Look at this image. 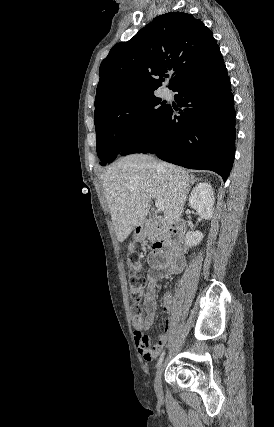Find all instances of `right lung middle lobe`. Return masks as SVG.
<instances>
[{
	"mask_svg": "<svg viewBox=\"0 0 274 427\" xmlns=\"http://www.w3.org/2000/svg\"><path fill=\"white\" fill-rule=\"evenodd\" d=\"M163 104L154 94L139 95L96 114V150L100 164L112 162L124 148L145 137L167 111L169 106Z\"/></svg>",
	"mask_w": 274,
	"mask_h": 427,
	"instance_id": "dd1d6c3e",
	"label": "right lung middle lobe"
}]
</instances>
